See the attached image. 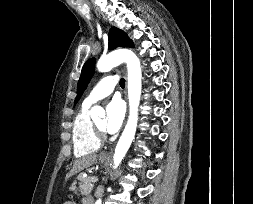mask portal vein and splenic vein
I'll use <instances>...</instances> for the list:
<instances>
[{
  "instance_id": "18ae733b",
  "label": "portal vein and splenic vein",
  "mask_w": 253,
  "mask_h": 204,
  "mask_svg": "<svg viewBox=\"0 0 253 204\" xmlns=\"http://www.w3.org/2000/svg\"><path fill=\"white\" fill-rule=\"evenodd\" d=\"M90 180H91L92 182H97V181H98V178L95 177V176H91V177H90Z\"/></svg>"
}]
</instances>
